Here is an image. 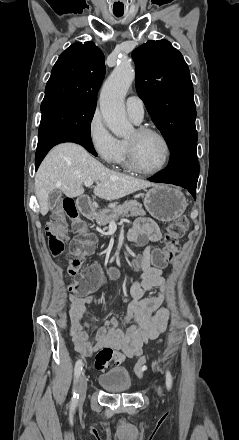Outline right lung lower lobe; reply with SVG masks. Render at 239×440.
I'll use <instances>...</instances> for the list:
<instances>
[{
  "label": "right lung lower lobe",
  "instance_id": "obj_1",
  "mask_svg": "<svg viewBox=\"0 0 239 440\" xmlns=\"http://www.w3.org/2000/svg\"><path fill=\"white\" fill-rule=\"evenodd\" d=\"M62 142H74L82 145L90 153L97 156V153L92 145L89 135L78 131H58L46 134L39 138L38 146L35 155V166L38 169L41 161L46 156L48 151L55 145Z\"/></svg>",
  "mask_w": 239,
  "mask_h": 440
}]
</instances>
